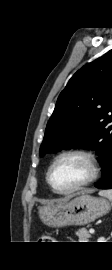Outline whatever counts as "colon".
I'll list each match as a JSON object with an SVG mask.
<instances>
[{"label": "colon", "instance_id": "obj_1", "mask_svg": "<svg viewBox=\"0 0 112 270\" xmlns=\"http://www.w3.org/2000/svg\"><path fill=\"white\" fill-rule=\"evenodd\" d=\"M43 238L44 239H50V236H44Z\"/></svg>", "mask_w": 112, "mask_h": 270}]
</instances>
